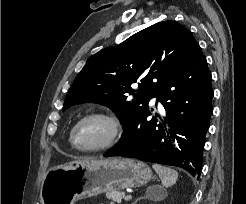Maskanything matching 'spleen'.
<instances>
[{"label":"spleen","mask_w":246,"mask_h":204,"mask_svg":"<svg viewBox=\"0 0 246 204\" xmlns=\"http://www.w3.org/2000/svg\"><path fill=\"white\" fill-rule=\"evenodd\" d=\"M153 169L159 175L162 185L166 188L174 185L178 179V172L170 167L153 164Z\"/></svg>","instance_id":"1"}]
</instances>
